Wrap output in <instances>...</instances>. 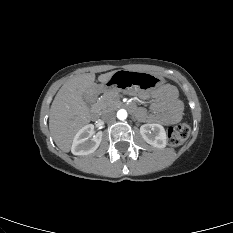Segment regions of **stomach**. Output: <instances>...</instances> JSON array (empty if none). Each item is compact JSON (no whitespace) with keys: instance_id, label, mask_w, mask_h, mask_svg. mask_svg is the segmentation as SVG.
Listing matches in <instances>:
<instances>
[{"instance_id":"0dacf381","label":"stomach","mask_w":233,"mask_h":233,"mask_svg":"<svg viewBox=\"0 0 233 233\" xmlns=\"http://www.w3.org/2000/svg\"><path fill=\"white\" fill-rule=\"evenodd\" d=\"M164 83V79L148 72L121 71L114 74L108 80V87L112 91H119L122 88L149 90Z\"/></svg>"}]
</instances>
